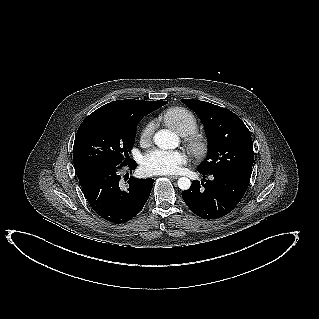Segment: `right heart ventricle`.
<instances>
[{
    "mask_svg": "<svg viewBox=\"0 0 319 319\" xmlns=\"http://www.w3.org/2000/svg\"><path fill=\"white\" fill-rule=\"evenodd\" d=\"M162 118L168 127L182 136L196 132L199 125L195 115L183 107H173L166 110Z\"/></svg>",
    "mask_w": 319,
    "mask_h": 319,
    "instance_id": "1",
    "label": "right heart ventricle"
}]
</instances>
